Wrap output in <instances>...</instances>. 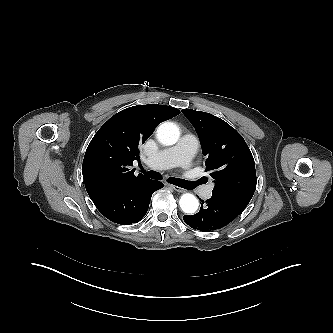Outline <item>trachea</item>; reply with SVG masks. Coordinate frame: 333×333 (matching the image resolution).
<instances>
[{
  "instance_id": "trachea-1",
  "label": "trachea",
  "mask_w": 333,
  "mask_h": 333,
  "mask_svg": "<svg viewBox=\"0 0 333 333\" xmlns=\"http://www.w3.org/2000/svg\"><path fill=\"white\" fill-rule=\"evenodd\" d=\"M142 173H144L147 177L155 179V180H162V175L159 172L156 171H148L142 170ZM169 183L174 184L176 186L185 188V189H194L196 186L201 184V181L198 180L196 182H191L179 178L171 177L167 180Z\"/></svg>"
}]
</instances>
